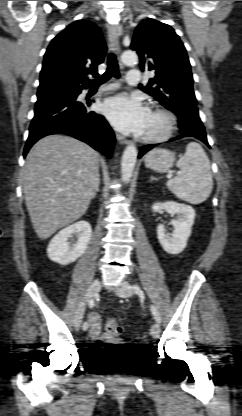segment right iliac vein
<instances>
[{
	"mask_svg": "<svg viewBox=\"0 0 242 416\" xmlns=\"http://www.w3.org/2000/svg\"><path fill=\"white\" fill-rule=\"evenodd\" d=\"M99 290H100V281L98 279H96L89 286V289H88L87 295L85 297V300L80 305L79 309L76 312L75 319H74V326H75L76 329H78L80 327V324L82 322L86 302L89 299L93 298L99 292Z\"/></svg>",
	"mask_w": 242,
	"mask_h": 416,
	"instance_id": "1",
	"label": "right iliac vein"
}]
</instances>
